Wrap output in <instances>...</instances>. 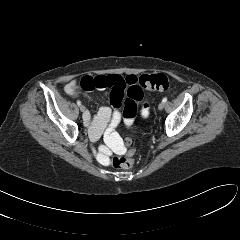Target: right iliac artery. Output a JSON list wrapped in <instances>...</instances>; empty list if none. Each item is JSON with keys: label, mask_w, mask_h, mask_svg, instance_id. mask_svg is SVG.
<instances>
[{"label": "right iliac artery", "mask_w": 240, "mask_h": 240, "mask_svg": "<svg viewBox=\"0 0 240 240\" xmlns=\"http://www.w3.org/2000/svg\"><path fill=\"white\" fill-rule=\"evenodd\" d=\"M77 105H78V106L81 105V101H80V100L77 101Z\"/></svg>", "instance_id": "1"}]
</instances>
